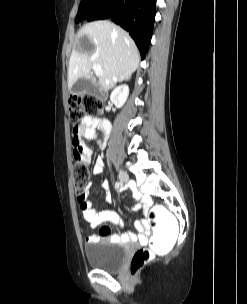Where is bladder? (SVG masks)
Masks as SVG:
<instances>
[{"label": "bladder", "instance_id": "1", "mask_svg": "<svg viewBox=\"0 0 247 304\" xmlns=\"http://www.w3.org/2000/svg\"><path fill=\"white\" fill-rule=\"evenodd\" d=\"M126 245L109 239H100L85 247L88 264L99 270L115 272L119 270L126 256Z\"/></svg>", "mask_w": 247, "mask_h": 304}]
</instances>
